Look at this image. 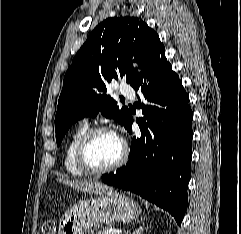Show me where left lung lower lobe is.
I'll list each match as a JSON object with an SVG mask.
<instances>
[{
    "mask_svg": "<svg viewBox=\"0 0 241 234\" xmlns=\"http://www.w3.org/2000/svg\"><path fill=\"white\" fill-rule=\"evenodd\" d=\"M131 86L141 91L136 103L144 114L136 120L141 135L132 139L126 166L104 174L102 181L155 203L180 225L187 210L191 176L193 113L189 96L167 62L165 48ZM132 123L130 114L125 126L129 133Z\"/></svg>",
    "mask_w": 241,
    "mask_h": 234,
    "instance_id": "obj_1",
    "label": "left lung lower lobe"
}]
</instances>
